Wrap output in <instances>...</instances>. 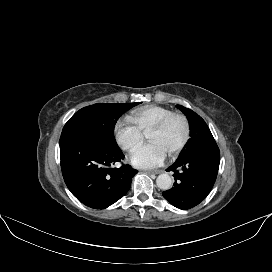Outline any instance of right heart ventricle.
Returning a JSON list of instances; mask_svg holds the SVG:
<instances>
[{"mask_svg": "<svg viewBox=\"0 0 272 272\" xmlns=\"http://www.w3.org/2000/svg\"><path fill=\"white\" fill-rule=\"evenodd\" d=\"M173 111L158 105H145L131 111L129 120L142 132H148L156 123Z\"/></svg>", "mask_w": 272, "mask_h": 272, "instance_id": "1", "label": "right heart ventricle"}]
</instances>
